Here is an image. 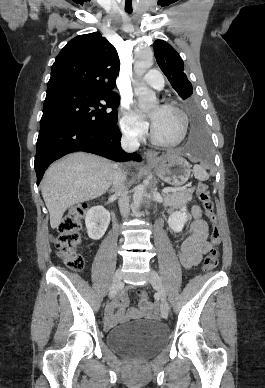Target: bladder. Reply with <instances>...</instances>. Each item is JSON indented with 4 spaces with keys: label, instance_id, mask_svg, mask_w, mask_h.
<instances>
[{
    "label": "bladder",
    "instance_id": "obj_1",
    "mask_svg": "<svg viewBox=\"0 0 265 388\" xmlns=\"http://www.w3.org/2000/svg\"><path fill=\"white\" fill-rule=\"evenodd\" d=\"M167 340L166 327L155 320L124 324L107 334L110 348L131 355H147L161 349Z\"/></svg>",
    "mask_w": 265,
    "mask_h": 388
}]
</instances>
